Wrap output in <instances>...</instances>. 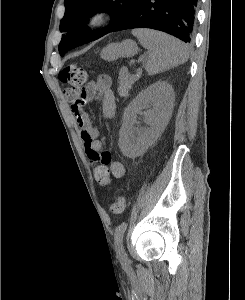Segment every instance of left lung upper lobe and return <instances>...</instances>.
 Masks as SVG:
<instances>
[{
    "label": "left lung upper lobe",
    "instance_id": "5c2ea615",
    "mask_svg": "<svg viewBox=\"0 0 245 300\" xmlns=\"http://www.w3.org/2000/svg\"><path fill=\"white\" fill-rule=\"evenodd\" d=\"M134 2L135 0H65V14L60 22V31L63 32L59 44L60 54L108 33L128 14ZM98 12L108 13L111 20L107 28L92 31L87 23Z\"/></svg>",
    "mask_w": 245,
    "mask_h": 300
}]
</instances>
